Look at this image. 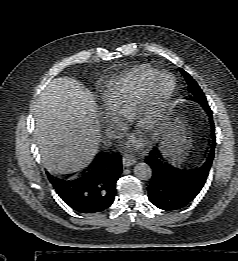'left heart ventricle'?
Returning a JSON list of instances; mask_svg holds the SVG:
<instances>
[{
	"instance_id": "obj_1",
	"label": "left heart ventricle",
	"mask_w": 238,
	"mask_h": 261,
	"mask_svg": "<svg viewBox=\"0 0 238 261\" xmlns=\"http://www.w3.org/2000/svg\"><path fill=\"white\" fill-rule=\"evenodd\" d=\"M171 86V80L167 76H161L153 84L151 94L154 100H160L169 90ZM143 128V126H140Z\"/></svg>"
}]
</instances>
